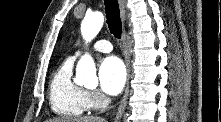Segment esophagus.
Returning a JSON list of instances; mask_svg holds the SVG:
<instances>
[{"label":"esophagus","instance_id":"1","mask_svg":"<svg viewBox=\"0 0 221 122\" xmlns=\"http://www.w3.org/2000/svg\"><path fill=\"white\" fill-rule=\"evenodd\" d=\"M119 5H120V12H121V19L124 23L125 22L124 1L119 0ZM122 42H123V53H124V58H125V64L127 68V80H126L124 95L119 103V106L115 115V119H114L115 121H118L122 117V114L124 113V110L127 105V100H128V95H129V81H130L131 68H130V52L127 46L125 28H123Z\"/></svg>","mask_w":221,"mask_h":122}]
</instances>
